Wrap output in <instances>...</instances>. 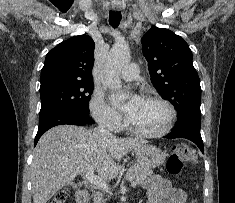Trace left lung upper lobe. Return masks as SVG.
<instances>
[{
  "label": "left lung upper lobe",
  "instance_id": "left-lung-upper-lobe-1",
  "mask_svg": "<svg viewBox=\"0 0 235 203\" xmlns=\"http://www.w3.org/2000/svg\"><path fill=\"white\" fill-rule=\"evenodd\" d=\"M151 82L178 113L177 123L201 121V87L184 39L168 29L152 27L142 37Z\"/></svg>",
  "mask_w": 235,
  "mask_h": 203
}]
</instances>
